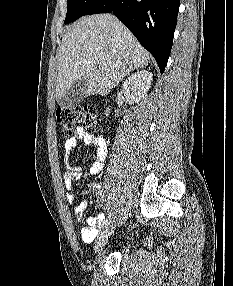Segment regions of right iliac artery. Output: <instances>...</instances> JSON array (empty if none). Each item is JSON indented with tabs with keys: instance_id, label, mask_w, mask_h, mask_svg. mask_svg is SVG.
<instances>
[{
	"instance_id": "1",
	"label": "right iliac artery",
	"mask_w": 233,
	"mask_h": 286,
	"mask_svg": "<svg viewBox=\"0 0 233 286\" xmlns=\"http://www.w3.org/2000/svg\"><path fill=\"white\" fill-rule=\"evenodd\" d=\"M111 219H112L111 214H109L108 217L104 220L103 227L108 226L111 222Z\"/></svg>"
}]
</instances>
